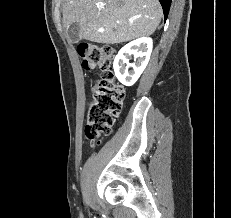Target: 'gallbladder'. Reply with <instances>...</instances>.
<instances>
[{
    "label": "gallbladder",
    "instance_id": "1",
    "mask_svg": "<svg viewBox=\"0 0 231 218\" xmlns=\"http://www.w3.org/2000/svg\"><path fill=\"white\" fill-rule=\"evenodd\" d=\"M80 26L78 23H74L68 29V35L72 43H78L81 38L79 36Z\"/></svg>",
    "mask_w": 231,
    "mask_h": 218
}]
</instances>
